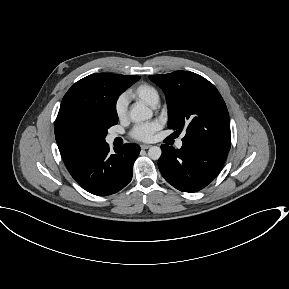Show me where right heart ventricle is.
<instances>
[{
    "label": "right heart ventricle",
    "instance_id": "right-heart-ventricle-1",
    "mask_svg": "<svg viewBox=\"0 0 289 289\" xmlns=\"http://www.w3.org/2000/svg\"><path fill=\"white\" fill-rule=\"evenodd\" d=\"M126 97L141 101L150 106H155L159 101L158 90L148 83H141L135 86L127 93Z\"/></svg>",
    "mask_w": 289,
    "mask_h": 289
}]
</instances>
